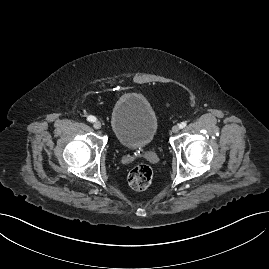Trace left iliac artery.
Listing matches in <instances>:
<instances>
[{
	"label": "left iliac artery",
	"instance_id": "44dca946",
	"mask_svg": "<svg viewBox=\"0 0 269 269\" xmlns=\"http://www.w3.org/2000/svg\"><path fill=\"white\" fill-rule=\"evenodd\" d=\"M186 125H187L186 122H181V123L179 124V127H180V128H184V127H186Z\"/></svg>",
	"mask_w": 269,
	"mask_h": 269
}]
</instances>
